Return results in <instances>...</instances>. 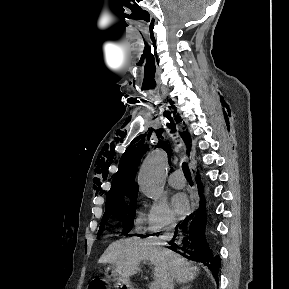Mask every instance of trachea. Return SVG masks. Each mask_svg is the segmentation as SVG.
Returning <instances> with one entry per match:
<instances>
[{
    "label": "trachea",
    "mask_w": 289,
    "mask_h": 289,
    "mask_svg": "<svg viewBox=\"0 0 289 289\" xmlns=\"http://www.w3.org/2000/svg\"><path fill=\"white\" fill-rule=\"evenodd\" d=\"M168 119H169L170 123H167V127L171 129L172 133H174L176 131V129H175V124L173 122V119L171 117ZM182 170H183V173H184L186 179L188 181H192L191 173H190L188 164L186 162L182 163Z\"/></svg>",
    "instance_id": "trachea-1"
}]
</instances>
